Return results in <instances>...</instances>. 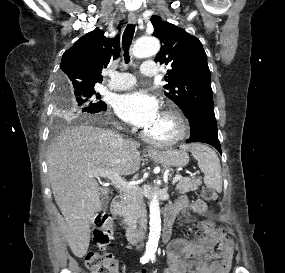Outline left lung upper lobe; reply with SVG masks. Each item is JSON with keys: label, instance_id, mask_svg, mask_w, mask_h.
<instances>
[{"label": "left lung upper lobe", "instance_id": "obj_1", "mask_svg": "<svg viewBox=\"0 0 285 273\" xmlns=\"http://www.w3.org/2000/svg\"><path fill=\"white\" fill-rule=\"evenodd\" d=\"M153 36L161 41L155 61L170 67L165 95L184 112L199 106H213V92L207 56L201 42L185 30L152 16Z\"/></svg>", "mask_w": 285, "mask_h": 273}]
</instances>
